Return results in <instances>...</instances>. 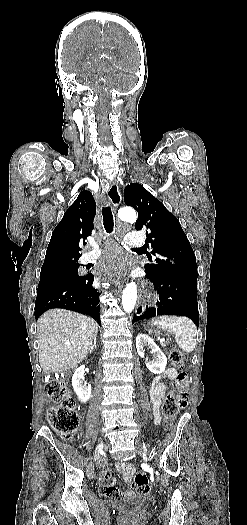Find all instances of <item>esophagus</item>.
I'll use <instances>...</instances> for the list:
<instances>
[{"label": "esophagus", "instance_id": "obj_1", "mask_svg": "<svg viewBox=\"0 0 247 525\" xmlns=\"http://www.w3.org/2000/svg\"><path fill=\"white\" fill-rule=\"evenodd\" d=\"M107 196L109 198V201L113 205V207H115V208L119 207V205L122 202V195H121V192L119 190V186H118V184L116 182H112L110 184L109 190L107 191ZM137 282H140V279H137ZM144 311H145V305L142 302V295L140 293L139 299H138V304H137V307H136V314L138 316L142 315L144 313Z\"/></svg>", "mask_w": 247, "mask_h": 525}]
</instances>
